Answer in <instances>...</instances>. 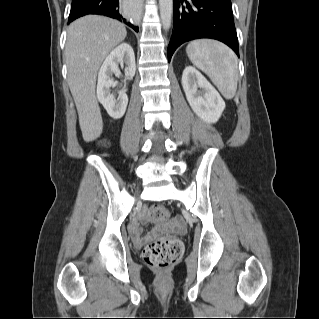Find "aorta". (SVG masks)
I'll use <instances>...</instances> for the list:
<instances>
[{
	"label": "aorta",
	"instance_id": "aorta-1",
	"mask_svg": "<svg viewBox=\"0 0 319 319\" xmlns=\"http://www.w3.org/2000/svg\"><path fill=\"white\" fill-rule=\"evenodd\" d=\"M159 8L162 26L167 30L172 22L173 0H159Z\"/></svg>",
	"mask_w": 319,
	"mask_h": 319
}]
</instances>
